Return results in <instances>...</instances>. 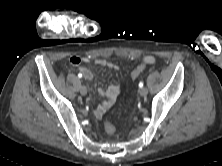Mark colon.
I'll return each instance as SVG.
<instances>
[{"mask_svg": "<svg viewBox=\"0 0 222 166\" xmlns=\"http://www.w3.org/2000/svg\"><path fill=\"white\" fill-rule=\"evenodd\" d=\"M145 66L146 64L145 63H141L139 64L131 73V78L132 79H136L138 78L141 73L145 70ZM104 128H105V131L108 133V134H112L114 133L115 131V127L113 124L109 123V122H106L104 124Z\"/></svg>", "mask_w": 222, "mask_h": 166, "instance_id": "5ec220e1", "label": "colon"}]
</instances>
